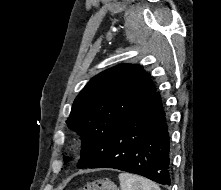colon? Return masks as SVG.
Masks as SVG:
<instances>
[{
    "mask_svg": "<svg viewBox=\"0 0 221 190\" xmlns=\"http://www.w3.org/2000/svg\"><path fill=\"white\" fill-rule=\"evenodd\" d=\"M78 190H116V187L111 180L103 178L90 181Z\"/></svg>",
    "mask_w": 221,
    "mask_h": 190,
    "instance_id": "5ec220e1",
    "label": "colon"
}]
</instances>
